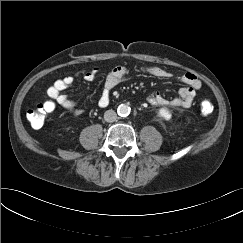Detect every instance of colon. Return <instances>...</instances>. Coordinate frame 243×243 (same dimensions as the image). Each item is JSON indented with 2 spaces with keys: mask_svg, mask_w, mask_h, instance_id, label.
I'll list each match as a JSON object with an SVG mask.
<instances>
[{
  "mask_svg": "<svg viewBox=\"0 0 243 243\" xmlns=\"http://www.w3.org/2000/svg\"><path fill=\"white\" fill-rule=\"evenodd\" d=\"M55 104L52 101H46L38 104L27 112V119L33 128L39 129L44 125L46 115L52 112ZM214 106L210 101L204 100L200 103V111L203 115H210Z\"/></svg>",
  "mask_w": 243,
  "mask_h": 243,
  "instance_id": "5ec220e1",
  "label": "colon"
}]
</instances>
